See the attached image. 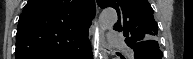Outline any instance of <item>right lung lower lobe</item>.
Instances as JSON below:
<instances>
[{
    "label": "right lung lower lobe",
    "instance_id": "1",
    "mask_svg": "<svg viewBox=\"0 0 193 59\" xmlns=\"http://www.w3.org/2000/svg\"><path fill=\"white\" fill-rule=\"evenodd\" d=\"M61 59H92V49L89 40Z\"/></svg>",
    "mask_w": 193,
    "mask_h": 59
}]
</instances>
